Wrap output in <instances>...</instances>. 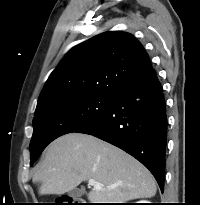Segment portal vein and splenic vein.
<instances>
[{"mask_svg": "<svg viewBox=\"0 0 200 205\" xmlns=\"http://www.w3.org/2000/svg\"><path fill=\"white\" fill-rule=\"evenodd\" d=\"M88 185L92 186L94 189H97V190H102L103 189V185H101L100 183L96 182L93 179H90L88 181Z\"/></svg>", "mask_w": 200, "mask_h": 205, "instance_id": "portal-vein-and-splenic-vein-1", "label": "portal vein and splenic vein"}]
</instances>
